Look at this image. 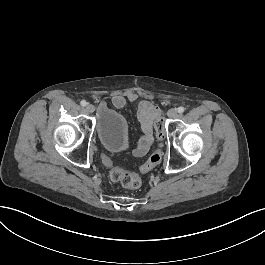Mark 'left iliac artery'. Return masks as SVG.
Segmentation results:
<instances>
[{"mask_svg": "<svg viewBox=\"0 0 265 265\" xmlns=\"http://www.w3.org/2000/svg\"><path fill=\"white\" fill-rule=\"evenodd\" d=\"M184 110H185V108L182 106L178 107V109H177L178 113H183Z\"/></svg>", "mask_w": 265, "mask_h": 265, "instance_id": "1", "label": "left iliac artery"}]
</instances>
